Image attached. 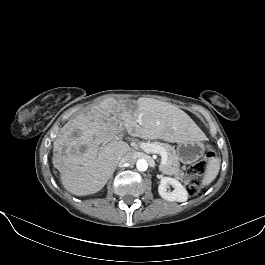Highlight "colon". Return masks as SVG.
Returning a JSON list of instances; mask_svg holds the SVG:
<instances>
[{
    "mask_svg": "<svg viewBox=\"0 0 265 265\" xmlns=\"http://www.w3.org/2000/svg\"><path fill=\"white\" fill-rule=\"evenodd\" d=\"M214 156L213 151H208L203 159L191 166L187 172L186 182L189 195L194 196L199 192L201 177L205 171L208 161Z\"/></svg>",
    "mask_w": 265,
    "mask_h": 265,
    "instance_id": "colon-1",
    "label": "colon"
}]
</instances>
